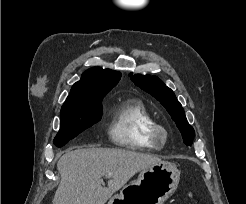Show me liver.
I'll use <instances>...</instances> for the list:
<instances>
[{"label": "liver", "mask_w": 246, "mask_h": 204, "mask_svg": "<svg viewBox=\"0 0 246 204\" xmlns=\"http://www.w3.org/2000/svg\"><path fill=\"white\" fill-rule=\"evenodd\" d=\"M160 162L155 155L124 149L68 151L57 163L61 181L53 204H105L136 173ZM109 173L104 187L103 177Z\"/></svg>", "instance_id": "6515ba94"}]
</instances>
